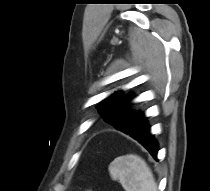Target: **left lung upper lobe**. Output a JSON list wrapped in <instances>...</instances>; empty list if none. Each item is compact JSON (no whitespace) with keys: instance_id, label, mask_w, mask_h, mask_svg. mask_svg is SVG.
I'll return each instance as SVG.
<instances>
[{"instance_id":"left-lung-upper-lobe-1","label":"left lung upper lobe","mask_w":210,"mask_h":191,"mask_svg":"<svg viewBox=\"0 0 210 191\" xmlns=\"http://www.w3.org/2000/svg\"><path fill=\"white\" fill-rule=\"evenodd\" d=\"M132 95H122V91L115 92L97 107L102 118L116 129L129 134L138 128L142 122L135 117L136 111H131Z\"/></svg>"}]
</instances>
